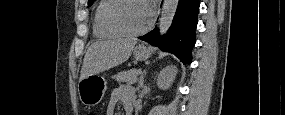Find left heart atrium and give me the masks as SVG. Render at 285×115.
Masks as SVG:
<instances>
[{
    "instance_id": "left-heart-atrium-1",
    "label": "left heart atrium",
    "mask_w": 285,
    "mask_h": 115,
    "mask_svg": "<svg viewBox=\"0 0 285 115\" xmlns=\"http://www.w3.org/2000/svg\"><path fill=\"white\" fill-rule=\"evenodd\" d=\"M146 13H147V18H149V16L151 15V11L148 7H146Z\"/></svg>"
}]
</instances>
